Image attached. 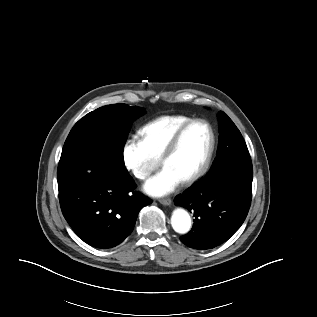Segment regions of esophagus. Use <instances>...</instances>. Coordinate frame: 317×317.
Returning a JSON list of instances; mask_svg holds the SVG:
<instances>
[{
  "instance_id": "obj_1",
  "label": "esophagus",
  "mask_w": 317,
  "mask_h": 317,
  "mask_svg": "<svg viewBox=\"0 0 317 317\" xmlns=\"http://www.w3.org/2000/svg\"><path fill=\"white\" fill-rule=\"evenodd\" d=\"M160 203H161L162 205L168 206V205H170V204L172 203V200H171L170 198H165V199H161V200H160Z\"/></svg>"
}]
</instances>
